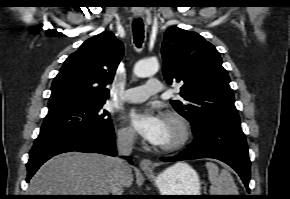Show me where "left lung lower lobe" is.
I'll return each instance as SVG.
<instances>
[{"mask_svg":"<svg viewBox=\"0 0 290 199\" xmlns=\"http://www.w3.org/2000/svg\"><path fill=\"white\" fill-rule=\"evenodd\" d=\"M195 139L185 152L162 158L164 162L214 158L231 166L241 177L248 191L250 159L245 135L240 125L222 124L207 120L192 126Z\"/></svg>","mask_w":290,"mask_h":199,"instance_id":"1","label":"left lung lower lobe"}]
</instances>
